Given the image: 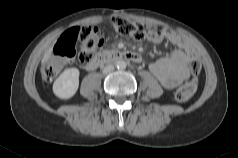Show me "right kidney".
<instances>
[{
  "label": "right kidney",
  "instance_id": "ca27d5eb",
  "mask_svg": "<svg viewBox=\"0 0 238 158\" xmlns=\"http://www.w3.org/2000/svg\"><path fill=\"white\" fill-rule=\"evenodd\" d=\"M79 70L69 68L63 71L53 84V93L60 99H70L79 87Z\"/></svg>",
  "mask_w": 238,
  "mask_h": 158
}]
</instances>
